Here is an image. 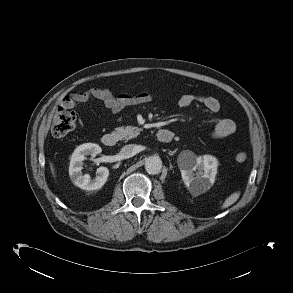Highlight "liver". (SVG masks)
I'll use <instances>...</instances> for the list:
<instances>
[{"instance_id":"obj_1","label":"liver","mask_w":293,"mask_h":293,"mask_svg":"<svg viewBox=\"0 0 293 293\" xmlns=\"http://www.w3.org/2000/svg\"><path fill=\"white\" fill-rule=\"evenodd\" d=\"M50 168H51V172H52L53 177H55V170H54L53 164L51 162H50Z\"/></svg>"}]
</instances>
